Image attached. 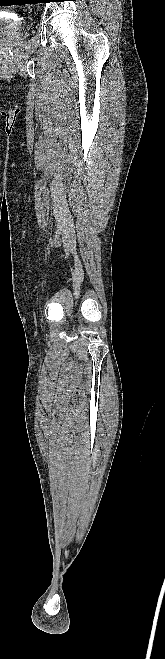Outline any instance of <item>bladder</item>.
Returning a JSON list of instances; mask_svg holds the SVG:
<instances>
[{"instance_id":"obj_1","label":"bladder","mask_w":165,"mask_h":659,"mask_svg":"<svg viewBox=\"0 0 165 659\" xmlns=\"http://www.w3.org/2000/svg\"><path fill=\"white\" fill-rule=\"evenodd\" d=\"M1 26H3V23H0V32L3 30V28H1Z\"/></svg>"}]
</instances>
